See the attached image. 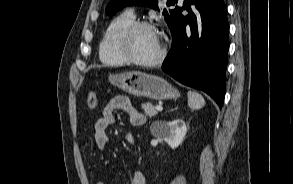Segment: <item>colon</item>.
Listing matches in <instances>:
<instances>
[{"instance_id": "colon-1", "label": "colon", "mask_w": 293, "mask_h": 184, "mask_svg": "<svg viewBox=\"0 0 293 184\" xmlns=\"http://www.w3.org/2000/svg\"><path fill=\"white\" fill-rule=\"evenodd\" d=\"M87 105L89 109L94 110L97 106V94L95 91H91L87 98Z\"/></svg>"}]
</instances>
